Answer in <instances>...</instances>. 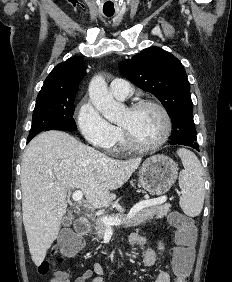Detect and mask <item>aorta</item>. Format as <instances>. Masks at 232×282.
Listing matches in <instances>:
<instances>
[{
	"instance_id": "obj_1",
	"label": "aorta",
	"mask_w": 232,
	"mask_h": 282,
	"mask_svg": "<svg viewBox=\"0 0 232 282\" xmlns=\"http://www.w3.org/2000/svg\"><path fill=\"white\" fill-rule=\"evenodd\" d=\"M90 101L94 107L110 122L117 123L121 120L124 106L118 104L111 93L104 77L95 75L90 81L89 88Z\"/></svg>"
}]
</instances>
